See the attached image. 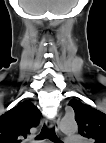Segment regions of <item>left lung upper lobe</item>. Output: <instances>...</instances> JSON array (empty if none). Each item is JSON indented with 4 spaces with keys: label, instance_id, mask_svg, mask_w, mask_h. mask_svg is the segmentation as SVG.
I'll use <instances>...</instances> for the list:
<instances>
[{
    "label": "left lung upper lobe",
    "instance_id": "left-lung-upper-lobe-1",
    "mask_svg": "<svg viewBox=\"0 0 106 143\" xmlns=\"http://www.w3.org/2000/svg\"><path fill=\"white\" fill-rule=\"evenodd\" d=\"M69 105L75 112V120L78 124V132L94 143H106V114L73 99Z\"/></svg>",
    "mask_w": 106,
    "mask_h": 143
}]
</instances>
